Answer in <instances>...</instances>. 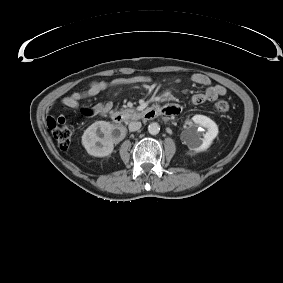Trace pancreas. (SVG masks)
<instances>
[{
  "label": "pancreas",
  "mask_w": 283,
  "mask_h": 283,
  "mask_svg": "<svg viewBox=\"0 0 283 283\" xmlns=\"http://www.w3.org/2000/svg\"><path fill=\"white\" fill-rule=\"evenodd\" d=\"M125 111H127V110H125ZM128 111L133 112V110H128Z\"/></svg>",
  "instance_id": "cf45deb5"
}]
</instances>
